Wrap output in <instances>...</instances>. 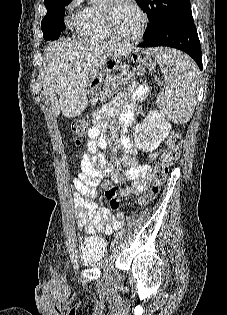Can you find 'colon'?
<instances>
[{"mask_svg":"<svg viewBox=\"0 0 227 315\" xmlns=\"http://www.w3.org/2000/svg\"><path fill=\"white\" fill-rule=\"evenodd\" d=\"M71 131L75 143L80 144L81 139L85 138L89 134L90 126L88 120L85 118H78L74 120L71 124ZM181 142V134L176 130L171 131L166 140V147L161 154L160 160L156 163L152 170L150 186L139 196L138 203L140 206H146L158 195L160 188L167 178L170 168L179 158ZM104 198L108 202L110 210L116 214L118 220L121 222L124 221L127 214L120 210V201L117 197V187L114 184L108 183L106 185Z\"/></svg>","mask_w":227,"mask_h":315,"instance_id":"1","label":"colon"}]
</instances>
